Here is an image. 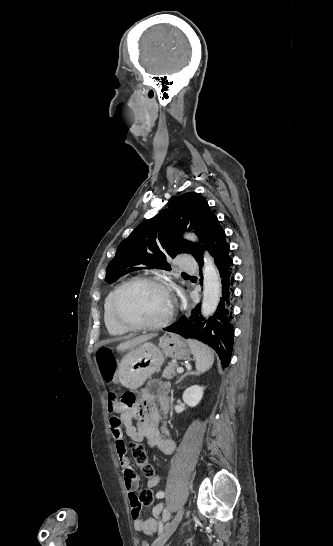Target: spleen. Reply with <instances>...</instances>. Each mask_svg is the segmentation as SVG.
<instances>
[{"instance_id": "3e777b00", "label": "spleen", "mask_w": 333, "mask_h": 546, "mask_svg": "<svg viewBox=\"0 0 333 546\" xmlns=\"http://www.w3.org/2000/svg\"><path fill=\"white\" fill-rule=\"evenodd\" d=\"M189 347L196 361L197 373L209 370L214 362L213 351L207 345L196 340H190Z\"/></svg>"}]
</instances>
